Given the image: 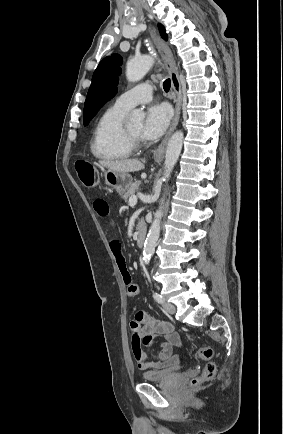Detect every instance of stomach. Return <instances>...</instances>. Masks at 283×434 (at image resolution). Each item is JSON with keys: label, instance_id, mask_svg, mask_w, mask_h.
Instances as JSON below:
<instances>
[{"label": "stomach", "instance_id": "stomach-1", "mask_svg": "<svg viewBox=\"0 0 283 434\" xmlns=\"http://www.w3.org/2000/svg\"><path fill=\"white\" fill-rule=\"evenodd\" d=\"M105 182L111 186L119 195H124L132 185V176L125 172L106 170L104 173Z\"/></svg>", "mask_w": 283, "mask_h": 434}]
</instances>
